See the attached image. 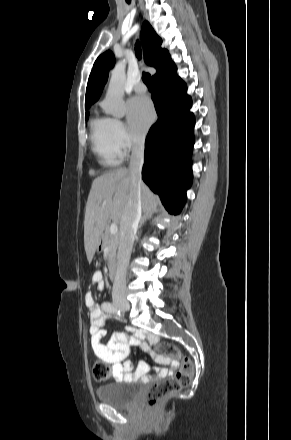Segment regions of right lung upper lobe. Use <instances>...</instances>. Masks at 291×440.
I'll return each mask as SVG.
<instances>
[{
	"instance_id": "right-lung-upper-lobe-1",
	"label": "right lung upper lobe",
	"mask_w": 291,
	"mask_h": 440,
	"mask_svg": "<svg viewBox=\"0 0 291 440\" xmlns=\"http://www.w3.org/2000/svg\"><path fill=\"white\" fill-rule=\"evenodd\" d=\"M141 38L145 61L148 65L156 68V74L153 76V79L176 68L175 64L171 61L168 51L161 48L162 39L155 33L147 21L142 25ZM114 63L115 57L111 51L101 54L95 61L86 89V108L99 99L104 84L107 81L108 71Z\"/></svg>"
}]
</instances>
